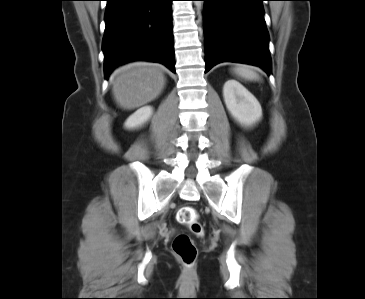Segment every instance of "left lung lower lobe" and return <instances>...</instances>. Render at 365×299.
I'll return each mask as SVG.
<instances>
[{
  "label": "left lung lower lobe",
  "mask_w": 365,
  "mask_h": 299,
  "mask_svg": "<svg viewBox=\"0 0 365 299\" xmlns=\"http://www.w3.org/2000/svg\"><path fill=\"white\" fill-rule=\"evenodd\" d=\"M205 72L221 62L247 63L269 75L271 59L264 0H202Z\"/></svg>",
  "instance_id": "1"
}]
</instances>
